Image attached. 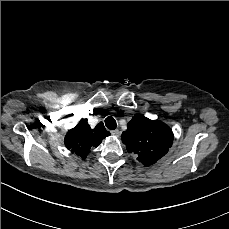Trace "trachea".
<instances>
[{"label":"trachea","instance_id":"1","mask_svg":"<svg viewBox=\"0 0 229 229\" xmlns=\"http://www.w3.org/2000/svg\"><path fill=\"white\" fill-rule=\"evenodd\" d=\"M105 125L110 130H115L117 127L116 121L113 117L109 116L105 119Z\"/></svg>","mask_w":229,"mask_h":229}]
</instances>
